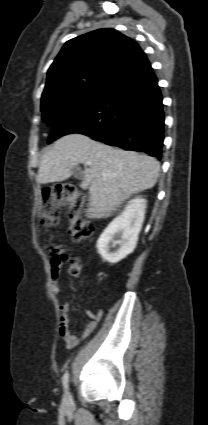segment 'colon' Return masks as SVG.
<instances>
[{
    "label": "colon",
    "mask_w": 208,
    "mask_h": 425,
    "mask_svg": "<svg viewBox=\"0 0 208 425\" xmlns=\"http://www.w3.org/2000/svg\"><path fill=\"white\" fill-rule=\"evenodd\" d=\"M84 193L71 183H57L47 187L43 191V210L41 222L46 228H54L59 223L60 207L69 203L68 212L69 233L73 241L82 242L94 236V225L82 215ZM47 252L52 256V267L60 268L62 263L70 262V272L73 275L79 273V267L75 260L64 253V249L56 244H47Z\"/></svg>",
    "instance_id": "colon-1"
}]
</instances>
